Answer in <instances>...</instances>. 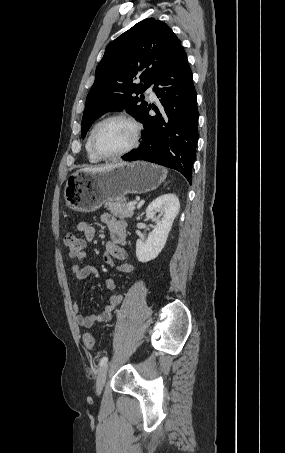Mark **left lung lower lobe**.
<instances>
[{"label": "left lung lower lobe", "instance_id": "0a47b994", "mask_svg": "<svg viewBox=\"0 0 285 453\" xmlns=\"http://www.w3.org/2000/svg\"><path fill=\"white\" fill-rule=\"evenodd\" d=\"M153 90L162 106L153 108L157 114L154 117L148 114L151 107H147L140 119L145 128L142 143L122 159H142L175 169L191 184L199 114L192 72L181 43L156 77Z\"/></svg>", "mask_w": 285, "mask_h": 453}]
</instances>
